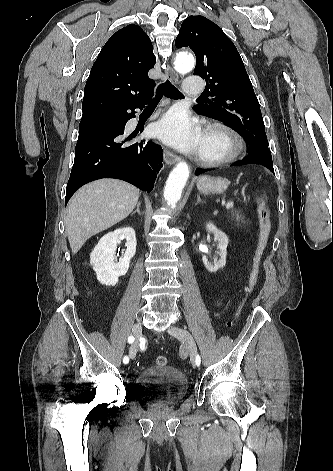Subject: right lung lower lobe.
I'll return each mask as SVG.
<instances>
[{
  "instance_id": "obj_1",
  "label": "right lung lower lobe",
  "mask_w": 333,
  "mask_h": 471,
  "mask_svg": "<svg viewBox=\"0 0 333 471\" xmlns=\"http://www.w3.org/2000/svg\"><path fill=\"white\" fill-rule=\"evenodd\" d=\"M151 96L81 120L65 205L82 185L100 178L121 179L151 192L162 167V148L149 140L134 142L137 133L124 132L127 121L135 117L134 110H142Z\"/></svg>"
}]
</instances>
